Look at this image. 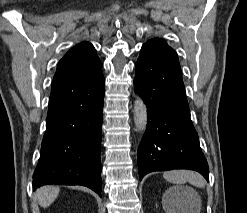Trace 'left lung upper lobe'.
<instances>
[{
  "label": "left lung upper lobe",
  "instance_id": "1",
  "mask_svg": "<svg viewBox=\"0 0 247 213\" xmlns=\"http://www.w3.org/2000/svg\"><path fill=\"white\" fill-rule=\"evenodd\" d=\"M161 55H171L177 58L176 52L163 39L153 38L142 46L139 58L149 59Z\"/></svg>",
  "mask_w": 247,
  "mask_h": 213
}]
</instances>
